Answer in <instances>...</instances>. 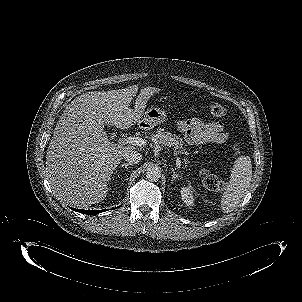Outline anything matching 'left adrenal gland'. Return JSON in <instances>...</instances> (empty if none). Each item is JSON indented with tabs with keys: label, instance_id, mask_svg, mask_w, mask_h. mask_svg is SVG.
I'll return each mask as SVG.
<instances>
[{
	"label": "left adrenal gland",
	"instance_id": "a2214340",
	"mask_svg": "<svg viewBox=\"0 0 302 302\" xmlns=\"http://www.w3.org/2000/svg\"><path fill=\"white\" fill-rule=\"evenodd\" d=\"M172 171V181L176 180L177 178L181 177V175H179V173H177V171H175L173 168H171Z\"/></svg>",
	"mask_w": 302,
	"mask_h": 302
}]
</instances>
